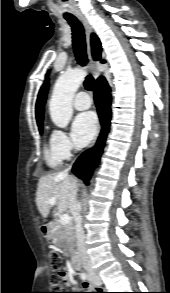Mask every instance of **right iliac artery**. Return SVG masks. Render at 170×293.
<instances>
[{
    "instance_id": "obj_1",
    "label": "right iliac artery",
    "mask_w": 170,
    "mask_h": 293,
    "mask_svg": "<svg viewBox=\"0 0 170 293\" xmlns=\"http://www.w3.org/2000/svg\"><path fill=\"white\" fill-rule=\"evenodd\" d=\"M81 279L86 280L87 279V274L85 272L81 273Z\"/></svg>"
}]
</instances>
